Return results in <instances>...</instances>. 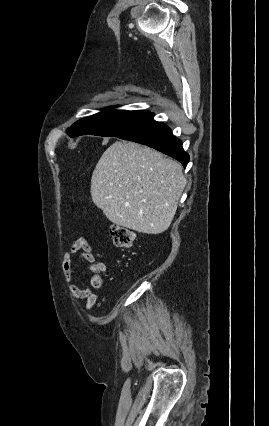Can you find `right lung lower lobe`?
<instances>
[{"label":"right lung lower lobe","mask_w":269,"mask_h":426,"mask_svg":"<svg viewBox=\"0 0 269 426\" xmlns=\"http://www.w3.org/2000/svg\"><path fill=\"white\" fill-rule=\"evenodd\" d=\"M153 116L154 114H150L139 126L118 138L152 147L175 158L186 167L189 155L183 150L181 140L172 134L167 125L156 122ZM68 134L73 137L70 130Z\"/></svg>","instance_id":"1"}]
</instances>
